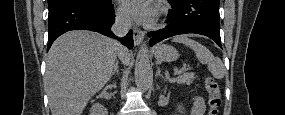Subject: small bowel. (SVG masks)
<instances>
[{
  "label": "small bowel",
  "instance_id": "c3829d8e",
  "mask_svg": "<svg viewBox=\"0 0 285 115\" xmlns=\"http://www.w3.org/2000/svg\"><path fill=\"white\" fill-rule=\"evenodd\" d=\"M205 110L204 101L201 97L195 96L192 99V115H203Z\"/></svg>",
  "mask_w": 285,
  "mask_h": 115
}]
</instances>
